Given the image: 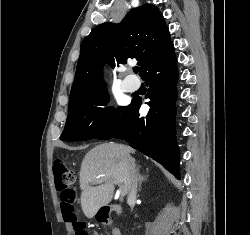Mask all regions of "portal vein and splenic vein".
<instances>
[{"label": "portal vein and splenic vein", "instance_id": "18ae733b", "mask_svg": "<svg viewBox=\"0 0 250 235\" xmlns=\"http://www.w3.org/2000/svg\"><path fill=\"white\" fill-rule=\"evenodd\" d=\"M120 194H121L122 196H124V195L126 194V192H125L124 190H120Z\"/></svg>", "mask_w": 250, "mask_h": 235}]
</instances>
